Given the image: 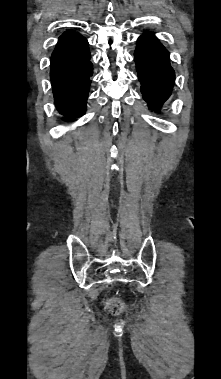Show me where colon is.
Returning a JSON list of instances; mask_svg holds the SVG:
<instances>
[{"mask_svg": "<svg viewBox=\"0 0 221 379\" xmlns=\"http://www.w3.org/2000/svg\"><path fill=\"white\" fill-rule=\"evenodd\" d=\"M105 305L112 314H120L125 309L124 303L116 297L107 298Z\"/></svg>", "mask_w": 221, "mask_h": 379, "instance_id": "5ec220e1", "label": "colon"}]
</instances>
